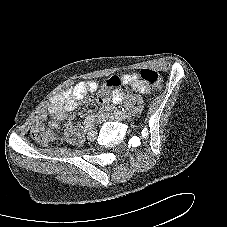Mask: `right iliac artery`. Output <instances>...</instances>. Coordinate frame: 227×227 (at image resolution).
<instances>
[{
    "mask_svg": "<svg viewBox=\"0 0 227 227\" xmlns=\"http://www.w3.org/2000/svg\"><path fill=\"white\" fill-rule=\"evenodd\" d=\"M95 117L96 116H94V115H89L88 117H86V119L84 121V131H87L92 127Z\"/></svg>",
    "mask_w": 227,
    "mask_h": 227,
    "instance_id": "right-iliac-artery-1",
    "label": "right iliac artery"
}]
</instances>
